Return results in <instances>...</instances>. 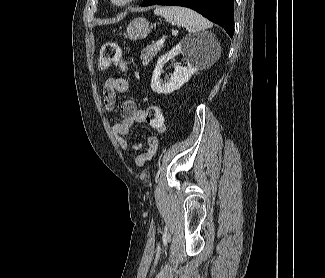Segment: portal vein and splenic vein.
Listing matches in <instances>:
<instances>
[{
	"mask_svg": "<svg viewBox=\"0 0 325 278\" xmlns=\"http://www.w3.org/2000/svg\"><path fill=\"white\" fill-rule=\"evenodd\" d=\"M165 42V37L160 38L159 40H157L156 45H163V43Z\"/></svg>",
	"mask_w": 325,
	"mask_h": 278,
	"instance_id": "1",
	"label": "portal vein and splenic vein"
}]
</instances>
